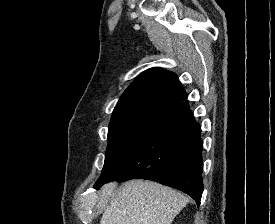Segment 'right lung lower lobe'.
<instances>
[{
  "mask_svg": "<svg viewBox=\"0 0 275 224\" xmlns=\"http://www.w3.org/2000/svg\"><path fill=\"white\" fill-rule=\"evenodd\" d=\"M201 127L188 101L169 109L100 188L110 181L152 180L190 195L200 205L203 192Z\"/></svg>",
  "mask_w": 275,
  "mask_h": 224,
  "instance_id": "1",
  "label": "right lung lower lobe"
}]
</instances>
